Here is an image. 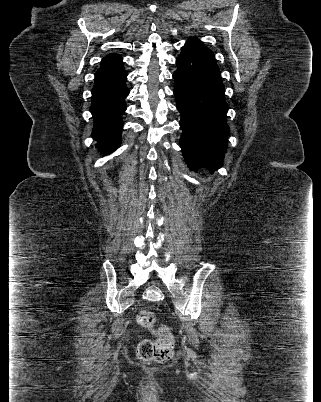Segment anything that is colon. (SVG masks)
I'll list each match as a JSON object with an SVG mask.
<instances>
[{"instance_id":"1","label":"colon","mask_w":321,"mask_h":402,"mask_svg":"<svg viewBox=\"0 0 321 402\" xmlns=\"http://www.w3.org/2000/svg\"><path fill=\"white\" fill-rule=\"evenodd\" d=\"M137 324L148 331L156 333V340L144 339L137 347V356L144 363H161L171 359L174 339L166 327L158 326L154 312L142 310L136 316Z\"/></svg>"}]
</instances>
